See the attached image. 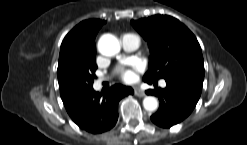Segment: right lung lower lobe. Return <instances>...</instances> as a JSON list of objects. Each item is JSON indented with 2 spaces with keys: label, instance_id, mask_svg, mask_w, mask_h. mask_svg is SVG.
<instances>
[{
  "label": "right lung lower lobe",
  "instance_id": "1",
  "mask_svg": "<svg viewBox=\"0 0 247 145\" xmlns=\"http://www.w3.org/2000/svg\"><path fill=\"white\" fill-rule=\"evenodd\" d=\"M129 94H133L131 87L117 84L105 94L91 88L64 99L63 103L69 116L81 129L96 134L116 124L118 102Z\"/></svg>",
  "mask_w": 247,
  "mask_h": 145
}]
</instances>
